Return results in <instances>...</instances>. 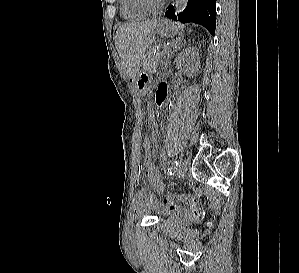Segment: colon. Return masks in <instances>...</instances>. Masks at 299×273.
Instances as JSON below:
<instances>
[{
    "mask_svg": "<svg viewBox=\"0 0 299 273\" xmlns=\"http://www.w3.org/2000/svg\"><path fill=\"white\" fill-rule=\"evenodd\" d=\"M152 144V135L146 134L143 138V147L150 146ZM177 201H183L186 204L189 205L192 215L196 218L201 217V211L199 208V203L197 197L190 195V194H169L167 197H165L162 201V203L165 206L171 207L173 206Z\"/></svg>",
    "mask_w": 299,
    "mask_h": 273,
    "instance_id": "5ec220e1",
    "label": "colon"
}]
</instances>
